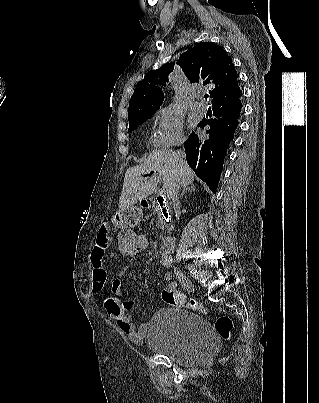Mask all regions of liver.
<instances>
[{
    "instance_id": "1",
    "label": "liver",
    "mask_w": 319,
    "mask_h": 403,
    "mask_svg": "<svg viewBox=\"0 0 319 403\" xmlns=\"http://www.w3.org/2000/svg\"><path fill=\"white\" fill-rule=\"evenodd\" d=\"M151 172L154 173L151 178L143 177ZM161 176L168 197L175 183L185 188L194 181L193 170L184 159L178 160L176 152L167 149L153 150L142 164L127 169L119 198V210L130 208L152 194Z\"/></svg>"
}]
</instances>
